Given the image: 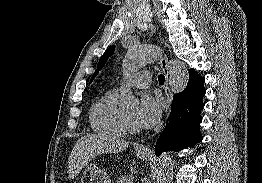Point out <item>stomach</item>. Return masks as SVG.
I'll return each instance as SVG.
<instances>
[{"mask_svg": "<svg viewBox=\"0 0 262 183\" xmlns=\"http://www.w3.org/2000/svg\"><path fill=\"white\" fill-rule=\"evenodd\" d=\"M137 157L146 159L149 156L147 152H136ZM80 183H111L109 175L101 170L95 164H89L85 166L82 176L80 177Z\"/></svg>", "mask_w": 262, "mask_h": 183, "instance_id": "0dacf381", "label": "stomach"}]
</instances>
